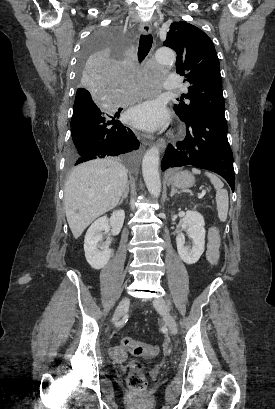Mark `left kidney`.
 I'll return each mask as SVG.
<instances>
[{"instance_id": "1", "label": "left kidney", "mask_w": 275, "mask_h": 409, "mask_svg": "<svg viewBox=\"0 0 275 409\" xmlns=\"http://www.w3.org/2000/svg\"><path fill=\"white\" fill-rule=\"evenodd\" d=\"M183 223L188 227L187 235L192 239L193 245L185 247L184 235H178L176 237L178 255L186 265H194L205 251V221L197 211H186Z\"/></svg>"}]
</instances>
